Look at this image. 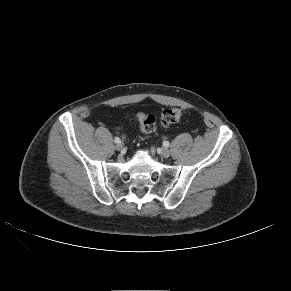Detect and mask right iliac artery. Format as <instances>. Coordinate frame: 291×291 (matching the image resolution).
I'll use <instances>...</instances> for the list:
<instances>
[{"mask_svg": "<svg viewBox=\"0 0 291 291\" xmlns=\"http://www.w3.org/2000/svg\"><path fill=\"white\" fill-rule=\"evenodd\" d=\"M114 141H115L116 143H120V142H121V140H120L119 137H115V138H114Z\"/></svg>", "mask_w": 291, "mask_h": 291, "instance_id": "right-iliac-artery-1", "label": "right iliac artery"}]
</instances>
